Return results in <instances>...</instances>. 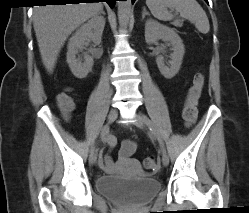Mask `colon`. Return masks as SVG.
Instances as JSON below:
<instances>
[{
    "mask_svg": "<svg viewBox=\"0 0 249 213\" xmlns=\"http://www.w3.org/2000/svg\"><path fill=\"white\" fill-rule=\"evenodd\" d=\"M204 80V74L202 72H198L194 76L193 83L187 92L182 110V116L188 125L193 124L197 119V104L204 86ZM57 101L60 109L66 114L71 113L75 109L73 100L66 94H60ZM143 166L148 171L157 170L160 166L159 158L156 156H149L144 159Z\"/></svg>",
    "mask_w": 249,
    "mask_h": 213,
    "instance_id": "obj_1",
    "label": "colon"
}]
</instances>
